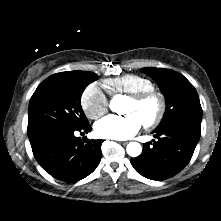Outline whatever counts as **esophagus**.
Returning <instances> with one entry per match:
<instances>
[{"instance_id":"34e87169","label":"esophagus","mask_w":221,"mask_h":221,"mask_svg":"<svg viewBox=\"0 0 221 221\" xmlns=\"http://www.w3.org/2000/svg\"><path fill=\"white\" fill-rule=\"evenodd\" d=\"M122 145H126L128 142H126V141H122V142H120Z\"/></svg>"}]
</instances>
